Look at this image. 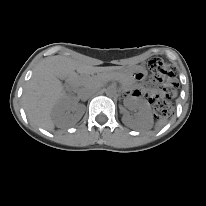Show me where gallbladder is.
<instances>
[{
    "instance_id": "gallbladder-1",
    "label": "gallbladder",
    "mask_w": 206,
    "mask_h": 206,
    "mask_svg": "<svg viewBox=\"0 0 206 206\" xmlns=\"http://www.w3.org/2000/svg\"><path fill=\"white\" fill-rule=\"evenodd\" d=\"M66 75L65 74H62L59 78L61 79V80H65L66 79Z\"/></svg>"
}]
</instances>
